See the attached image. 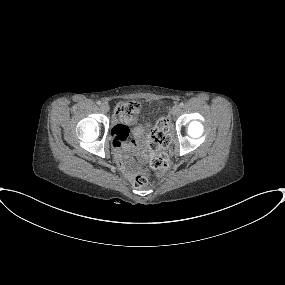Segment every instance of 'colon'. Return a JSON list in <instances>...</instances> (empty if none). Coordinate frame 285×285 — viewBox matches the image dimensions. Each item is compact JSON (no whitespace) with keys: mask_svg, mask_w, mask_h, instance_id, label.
Listing matches in <instances>:
<instances>
[{"mask_svg":"<svg viewBox=\"0 0 285 285\" xmlns=\"http://www.w3.org/2000/svg\"><path fill=\"white\" fill-rule=\"evenodd\" d=\"M116 112L119 116L126 119H132L136 117L140 112V105L136 101H127L120 103ZM126 137L122 139L125 141ZM171 142L169 135V121L166 117L160 118L156 125L151 128L148 137L144 141V147L140 151V155L146 157L149 161V165L152 170L163 174L170 168L169 156L161 151V149L167 148ZM140 167V164L133 165V168ZM148 172H144L134 176L132 183L135 187L140 188L146 185L148 181Z\"/></svg>","mask_w":285,"mask_h":285,"instance_id":"colon-1","label":"colon"}]
</instances>
